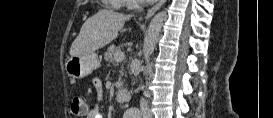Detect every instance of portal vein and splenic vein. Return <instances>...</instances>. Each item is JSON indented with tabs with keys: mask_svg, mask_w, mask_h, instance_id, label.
<instances>
[{
	"mask_svg": "<svg viewBox=\"0 0 273 118\" xmlns=\"http://www.w3.org/2000/svg\"><path fill=\"white\" fill-rule=\"evenodd\" d=\"M124 53L123 52H117L115 53L114 55V59L117 61V62H121L124 60Z\"/></svg>",
	"mask_w": 273,
	"mask_h": 118,
	"instance_id": "1",
	"label": "portal vein and splenic vein"
}]
</instances>
